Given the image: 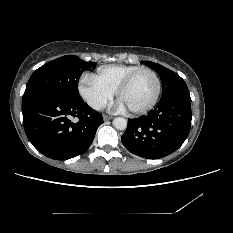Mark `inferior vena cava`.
<instances>
[{"mask_svg":"<svg viewBox=\"0 0 233 233\" xmlns=\"http://www.w3.org/2000/svg\"><path fill=\"white\" fill-rule=\"evenodd\" d=\"M106 104L104 102H98L96 104L93 105V108L96 110H101L103 108H105Z\"/></svg>","mask_w":233,"mask_h":233,"instance_id":"obj_1","label":"inferior vena cava"}]
</instances>
